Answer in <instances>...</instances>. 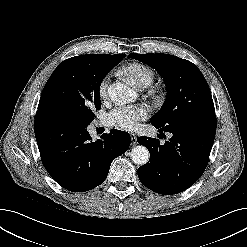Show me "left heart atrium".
<instances>
[{
    "mask_svg": "<svg viewBox=\"0 0 247 247\" xmlns=\"http://www.w3.org/2000/svg\"><path fill=\"white\" fill-rule=\"evenodd\" d=\"M147 116L148 109L143 106H123L117 107L108 113L106 121L111 126L123 130H132L140 121L146 119Z\"/></svg>",
    "mask_w": 247,
    "mask_h": 247,
    "instance_id": "39dd6f15",
    "label": "left heart atrium"
}]
</instances>
